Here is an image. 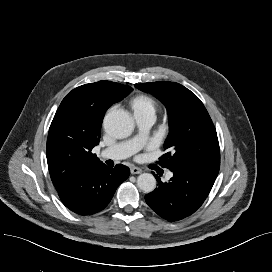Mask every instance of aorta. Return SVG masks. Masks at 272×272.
Segmentation results:
<instances>
[{"instance_id":"1","label":"aorta","mask_w":272,"mask_h":272,"mask_svg":"<svg viewBox=\"0 0 272 272\" xmlns=\"http://www.w3.org/2000/svg\"><path fill=\"white\" fill-rule=\"evenodd\" d=\"M103 126L108 135L121 139L131 135L134 121L127 112L113 110L105 115ZM137 186L143 192L150 193L156 188V179L150 173H143L137 178Z\"/></svg>"}]
</instances>
